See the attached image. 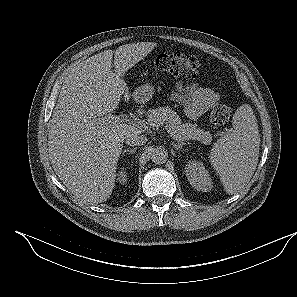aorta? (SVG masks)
I'll return each instance as SVG.
<instances>
[{
  "mask_svg": "<svg viewBox=\"0 0 297 297\" xmlns=\"http://www.w3.org/2000/svg\"><path fill=\"white\" fill-rule=\"evenodd\" d=\"M168 153L163 148H155L151 152V160L155 164H163L167 161Z\"/></svg>",
  "mask_w": 297,
  "mask_h": 297,
  "instance_id": "aorta-1",
  "label": "aorta"
}]
</instances>
